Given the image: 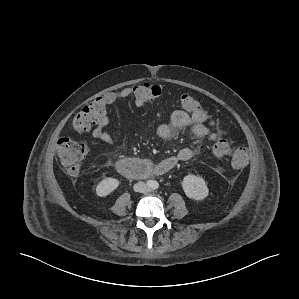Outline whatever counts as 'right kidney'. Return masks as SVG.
<instances>
[{
    "instance_id": "1",
    "label": "right kidney",
    "mask_w": 299,
    "mask_h": 299,
    "mask_svg": "<svg viewBox=\"0 0 299 299\" xmlns=\"http://www.w3.org/2000/svg\"><path fill=\"white\" fill-rule=\"evenodd\" d=\"M120 182L116 178L107 177L101 180L95 187V193L99 197H106L112 193L118 186Z\"/></svg>"
}]
</instances>
